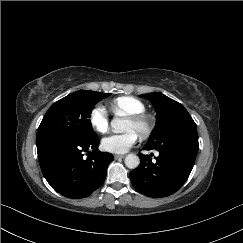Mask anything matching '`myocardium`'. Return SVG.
<instances>
[{
  "mask_svg": "<svg viewBox=\"0 0 243 243\" xmlns=\"http://www.w3.org/2000/svg\"><path fill=\"white\" fill-rule=\"evenodd\" d=\"M126 118L131 122L140 125L142 127V131L138 135L140 139L146 140L149 138L154 128V122L149 115L145 113H138V114L128 115Z\"/></svg>",
  "mask_w": 243,
  "mask_h": 243,
  "instance_id": "obj_1",
  "label": "myocardium"
}]
</instances>
